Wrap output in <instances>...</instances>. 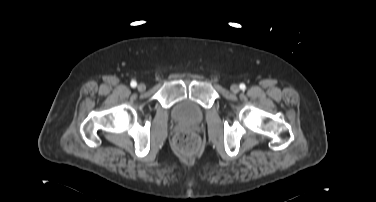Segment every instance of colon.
I'll return each instance as SVG.
<instances>
[{"label":"colon","mask_w":376,"mask_h":202,"mask_svg":"<svg viewBox=\"0 0 376 202\" xmlns=\"http://www.w3.org/2000/svg\"><path fill=\"white\" fill-rule=\"evenodd\" d=\"M174 147L182 153L191 154L194 153L199 147V138L186 131H179L174 137Z\"/></svg>","instance_id":"obj_1"}]
</instances>
